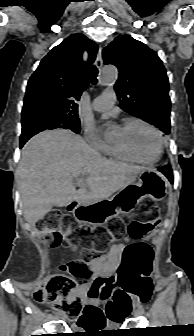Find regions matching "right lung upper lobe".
Returning <instances> with one entry per match:
<instances>
[{"label":"right lung upper lobe","instance_id":"1","mask_svg":"<svg viewBox=\"0 0 194 336\" xmlns=\"http://www.w3.org/2000/svg\"><path fill=\"white\" fill-rule=\"evenodd\" d=\"M87 50L89 59L82 60ZM98 46L77 33L54 47L30 77L22 109V122L41 115L78 117L77 104L88 86L86 69L95 60ZM34 134V133H33ZM33 134L23 138L25 142Z\"/></svg>","mask_w":194,"mask_h":336}]
</instances>
